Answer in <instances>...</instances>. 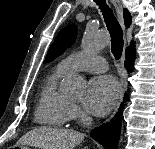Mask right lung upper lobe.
Returning <instances> with one entry per match:
<instances>
[{
    "label": "right lung upper lobe",
    "mask_w": 155,
    "mask_h": 149,
    "mask_svg": "<svg viewBox=\"0 0 155 149\" xmlns=\"http://www.w3.org/2000/svg\"><path fill=\"white\" fill-rule=\"evenodd\" d=\"M123 14H124L125 26L126 27H129L130 24H131V15L127 11V9L124 10ZM126 52L134 53L133 42L131 43V46L127 48V51Z\"/></svg>",
    "instance_id": "right-lung-upper-lobe-1"
}]
</instances>
